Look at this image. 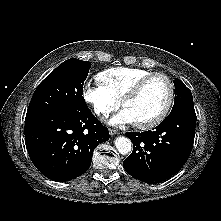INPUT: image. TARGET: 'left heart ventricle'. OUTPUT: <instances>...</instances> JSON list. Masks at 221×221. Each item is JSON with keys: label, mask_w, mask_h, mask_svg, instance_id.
<instances>
[{"label": "left heart ventricle", "mask_w": 221, "mask_h": 221, "mask_svg": "<svg viewBox=\"0 0 221 221\" xmlns=\"http://www.w3.org/2000/svg\"><path fill=\"white\" fill-rule=\"evenodd\" d=\"M169 95V87L161 77L151 79L140 94L125 105L135 123L147 122L163 109Z\"/></svg>", "instance_id": "obj_1"}]
</instances>
